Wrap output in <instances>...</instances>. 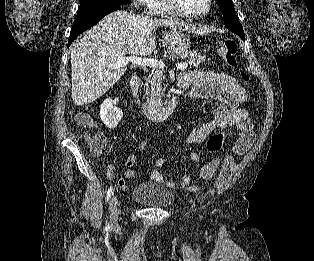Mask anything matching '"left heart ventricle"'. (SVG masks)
I'll use <instances>...</instances> for the list:
<instances>
[{
  "label": "left heart ventricle",
  "instance_id": "left-heart-ventricle-1",
  "mask_svg": "<svg viewBox=\"0 0 314 261\" xmlns=\"http://www.w3.org/2000/svg\"><path fill=\"white\" fill-rule=\"evenodd\" d=\"M179 5L190 13H200L207 7L208 0H177Z\"/></svg>",
  "mask_w": 314,
  "mask_h": 261
}]
</instances>
